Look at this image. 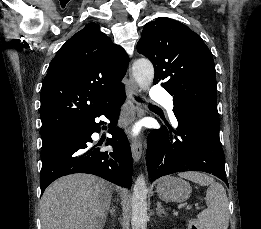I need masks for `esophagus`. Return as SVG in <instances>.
Here are the masks:
<instances>
[{"mask_svg": "<svg viewBox=\"0 0 261 229\" xmlns=\"http://www.w3.org/2000/svg\"><path fill=\"white\" fill-rule=\"evenodd\" d=\"M128 77H129L128 99L132 102V111L134 113H137V112H139L140 107H139L138 102H136V100L133 99L132 94H138L139 89H138V86L131 73L130 66H129V70H128ZM140 115H143V113H141ZM131 152H132V157H133L134 161L138 162L142 157V142H141L140 137H136V138L132 139Z\"/></svg>", "mask_w": 261, "mask_h": 229, "instance_id": "34e87169", "label": "esophagus"}]
</instances>
